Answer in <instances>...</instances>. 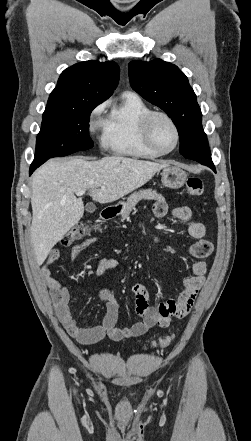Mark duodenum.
I'll use <instances>...</instances> for the list:
<instances>
[{
    "label": "duodenum",
    "instance_id": "410a0bca",
    "mask_svg": "<svg viewBox=\"0 0 251 441\" xmlns=\"http://www.w3.org/2000/svg\"><path fill=\"white\" fill-rule=\"evenodd\" d=\"M118 209L116 207H109L102 211L101 217L104 220H110L118 214Z\"/></svg>",
    "mask_w": 251,
    "mask_h": 441
}]
</instances>
